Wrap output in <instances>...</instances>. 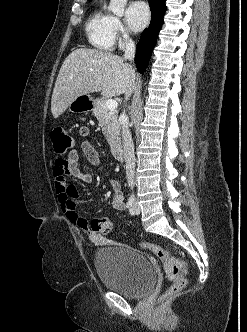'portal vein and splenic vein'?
<instances>
[{"label":"portal vein and splenic vein","instance_id":"1","mask_svg":"<svg viewBox=\"0 0 247 332\" xmlns=\"http://www.w3.org/2000/svg\"><path fill=\"white\" fill-rule=\"evenodd\" d=\"M105 105H106V107L108 109H111V110H114V109H116L118 107V103L114 99H108V100H106Z\"/></svg>","mask_w":247,"mask_h":332}]
</instances>
